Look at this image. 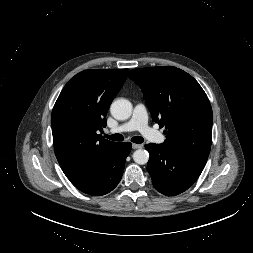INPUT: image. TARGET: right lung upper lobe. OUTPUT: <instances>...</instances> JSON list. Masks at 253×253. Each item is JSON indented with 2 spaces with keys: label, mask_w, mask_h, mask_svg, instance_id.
Wrapping results in <instances>:
<instances>
[{
  "label": "right lung upper lobe",
  "mask_w": 253,
  "mask_h": 253,
  "mask_svg": "<svg viewBox=\"0 0 253 253\" xmlns=\"http://www.w3.org/2000/svg\"><path fill=\"white\" fill-rule=\"evenodd\" d=\"M128 69L85 70L62 89L51 115L54 151L61 169L76 186L86 181L115 144L97 134L106 126L110 104Z\"/></svg>",
  "instance_id": "obj_1"
}]
</instances>
